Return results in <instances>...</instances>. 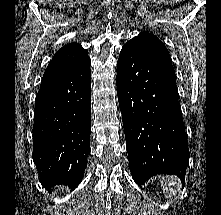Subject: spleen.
<instances>
[{
  "label": "spleen",
  "instance_id": "spleen-1",
  "mask_svg": "<svg viewBox=\"0 0 221 215\" xmlns=\"http://www.w3.org/2000/svg\"><path fill=\"white\" fill-rule=\"evenodd\" d=\"M160 182L166 196L171 197L177 192H180L181 186L179 179L176 176H164Z\"/></svg>",
  "mask_w": 221,
  "mask_h": 215
}]
</instances>
